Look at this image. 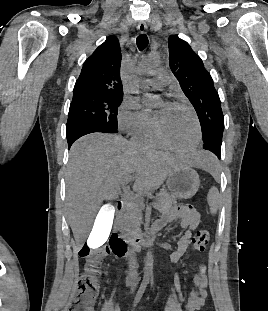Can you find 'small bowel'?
Returning a JSON list of instances; mask_svg holds the SVG:
<instances>
[{
  "label": "small bowel",
  "instance_id": "c3829d8e",
  "mask_svg": "<svg viewBox=\"0 0 268 311\" xmlns=\"http://www.w3.org/2000/svg\"><path fill=\"white\" fill-rule=\"evenodd\" d=\"M199 221L200 216L196 210L190 206H179L173 208L163 219L158 220L154 224V230L160 231L169 224L180 222L182 228L185 230L177 242L176 249L170 255L172 262L177 263L189 249L192 243L193 233L196 230ZM193 284L195 289L189 294L187 300H185L180 291L179 278L176 277L175 279L177 298L187 311H197L205 303L207 297L206 289L208 285V276L206 266L203 263L199 265V270L193 278Z\"/></svg>",
  "mask_w": 268,
  "mask_h": 311
}]
</instances>
